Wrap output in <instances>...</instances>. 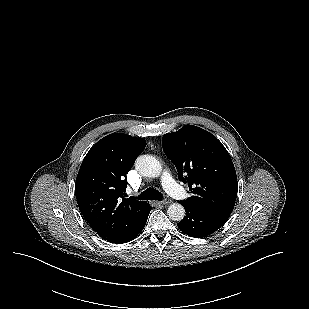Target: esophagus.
Masks as SVG:
<instances>
[{
	"mask_svg": "<svg viewBox=\"0 0 309 309\" xmlns=\"http://www.w3.org/2000/svg\"><path fill=\"white\" fill-rule=\"evenodd\" d=\"M159 204H162V205H167V204H170L171 203V200L170 199H164L162 201H159L158 202Z\"/></svg>",
	"mask_w": 309,
	"mask_h": 309,
	"instance_id": "1",
	"label": "esophagus"
}]
</instances>
